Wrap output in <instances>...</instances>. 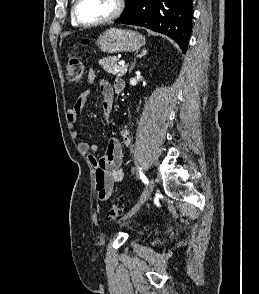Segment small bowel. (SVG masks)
<instances>
[{"instance_id":"c3829d8e","label":"small bowel","mask_w":259,"mask_h":294,"mask_svg":"<svg viewBox=\"0 0 259 294\" xmlns=\"http://www.w3.org/2000/svg\"><path fill=\"white\" fill-rule=\"evenodd\" d=\"M95 73L90 70L88 73V83H93L95 80ZM101 92V108L106 118L109 117L112 106L114 93L122 92L124 88V82L122 79H116L113 85L106 81H101L99 84ZM90 90H85L76 99L74 105L68 110V121L73 125L81 111L87 104ZM123 141L117 137H112L107 145V149L103 156L97 158L95 155V147L90 146L86 142L79 144L81 150L86 154L89 160L92 162L95 168V183L96 192L99 200L107 201L112 194L114 184L121 182L124 179V171L121 168L123 159V143L128 145L130 143V131L127 121H123L121 124ZM72 137H78V131H72Z\"/></svg>"}]
</instances>
